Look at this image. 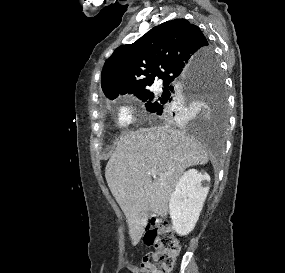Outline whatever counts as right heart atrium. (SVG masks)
<instances>
[{"mask_svg":"<svg viewBox=\"0 0 285 273\" xmlns=\"http://www.w3.org/2000/svg\"><path fill=\"white\" fill-rule=\"evenodd\" d=\"M135 121V109L131 104L121 106L117 111V125L120 128H128Z\"/></svg>","mask_w":285,"mask_h":273,"instance_id":"d8ad5b80","label":"right heart atrium"}]
</instances>
